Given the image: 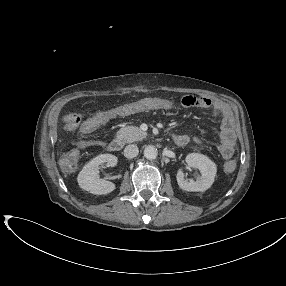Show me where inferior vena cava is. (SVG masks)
Returning <instances> with one entry per match:
<instances>
[{"instance_id":"602c4592","label":"inferior vena cava","mask_w":286,"mask_h":286,"mask_svg":"<svg viewBox=\"0 0 286 286\" xmlns=\"http://www.w3.org/2000/svg\"><path fill=\"white\" fill-rule=\"evenodd\" d=\"M139 153V149L136 145L131 144L125 147L124 149V156L128 159H132L136 157Z\"/></svg>"}]
</instances>
